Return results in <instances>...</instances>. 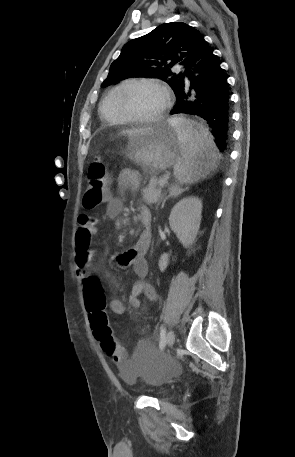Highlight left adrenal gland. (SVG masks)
Wrapping results in <instances>:
<instances>
[{
  "mask_svg": "<svg viewBox=\"0 0 295 457\" xmlns=\"http://www.w3.org/2000/svg\"><path fill=\"white\" fill-rule=\"evenodd\" d=\"M184 191H185V189H183V190H181V191H179V192L174 191V190L171 189L170 194H169V195L163 200V202H162V208L164 207L165 202H166L170 197H176V196H178L179 194H181V193L184 192ZM157 209H158V206L156 207V210H157Z\"/></svg>",
  "mask_w": 295,
  "mask_h": 457,
  "instance_id": "1",
  "label": "left adrenal gland"
}]
</instances>
